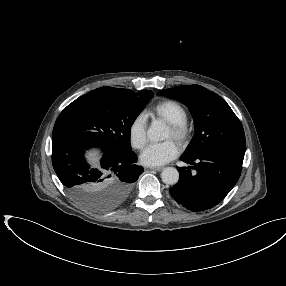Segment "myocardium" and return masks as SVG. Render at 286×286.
Wrapping results in <instances>:
<instances>
[{"instance_id":"f54148a6","label":"myocardium","mask_w":286,"mask_h":286,"mask_svg":"<svg viewBox=\"0 0 286 286\" xmlns=\"http://www.w3.org/2000/svg\"><path fill=\"white\" fill-rule=\"evenodd\" d=\"M169 128L173 133V138L181 145L187 144L191 139L192 128L187 122L169 123Z\"/></svg>"}]
</instances>
